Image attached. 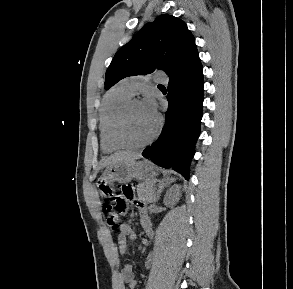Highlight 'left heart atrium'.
Instances as JSON below:
<instances>
[{
  "mask_svg": "<svg viewBox=\"0 0 293 289\" xmlns=\"http://www.w3.org/2000/svg\"><path fill=\"white\" fill-rule=\"evenodd\" d=\"M145 107L147 108V110L154 116L157 117V105L156 102L149 98L145 103H144Z\"/></svg>",
  "mask_w": 293,
  "mask_h": 289,
  "instance_id": "39dd6f15",
  "label": "left heart atrium"
}]
</instances>
